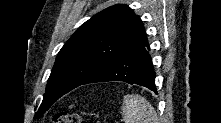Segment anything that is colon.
I'll use <instances>...</instances> for the list:
<instances>
[{
	"label": "colon",
	"instance_id": "obj_1",
	"mask_svg": "<svg viewBox=\"0 0 221 123\" xmlns=\"http://www.w3.org/2000/svg\"><path fill=\"white\" fill-rule=\"evenodd\" d=\"M53 123H86V121L76 113L64 111L57 112L52 117Z\"/></svg>",
	"mask_w": 221,
	"mask_h": 123
}]
</instances>
